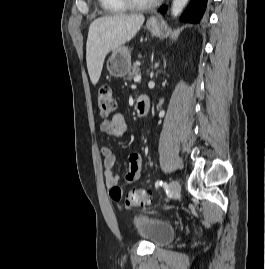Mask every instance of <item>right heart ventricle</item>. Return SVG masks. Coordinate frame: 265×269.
<instances>
[{"mask_svg": "<svg viewBox=\"0 0 265 269\" xmlns=\"http://www.w3.org/2000/svg\"><path fill=\"white\" fill-rule=\"evenodd\" d=\"M99 3L108 13H123L128 9L121 0H99Z\"/></svg>", "mask_w": 265, "mask_h": 269, "instance_id": "obj_1", "label": "right heart ventricle"}]
</instances>
